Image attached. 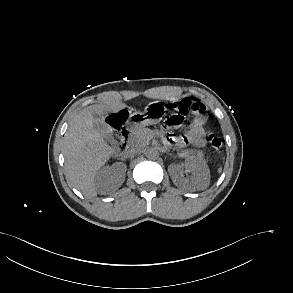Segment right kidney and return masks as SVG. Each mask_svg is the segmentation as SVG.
Wrapping results in <instances>:
<instances>
[{
    "instance_id": "obj_1",
    "label": "right kidney",
    "mask_w": 293,
    "mask_h": 293,
    "mask_svg": "<svg viewBox=\"0 0 293 293\" xmlns=\"http://www.w3.org/2000/svg\"><path fill=\"white\" fill-rule=\"evenodd\" d=\"M125 173L126 165L123 163H115L111 167L106 166L96 175L97 185L102 187L105 184L116 183L118 187L124 182Z\"/></svg>"
}]
</instances>
